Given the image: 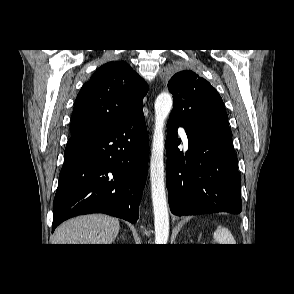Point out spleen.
Returning a JSON list of instances; mask_svg holds the SVG:
<instances>
[{"label":"spleen","mask_w":294,"mask_h":294,"mask_svg":"<svg viewBox=\"0 0 294 294\" xmlns=\"http://www.w3.org/2000/svg\"><path fill=\"white\" fill-rule=\"evenodd\" d=\"M213 238L218 244H235V240L231 232L227 228L220 225L214 232Z\"/></svg>","instance_id":"3e777b00"}]
</instances>
